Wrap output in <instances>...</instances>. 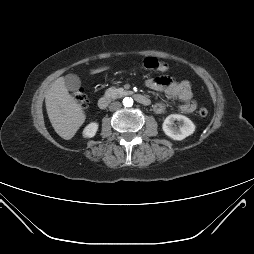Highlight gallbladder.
I'll return each instance as SVG.
<instances>
[{
    "label": "gallbladder",
    "mask_w": 254,
    "mask_h": 254,
    "mask_svg": "<svg viewBox=\"0 0 254 254\" xmlns=\"http://www.w3.org/2000/svg\"><path fill=\"white\" fill-rule=\"evenodd\" d=\"M65 86L69 91H77L80 88V78L75 74H68L64 78Z\"/></svg>",
    "instance_id": "gallbladder-1"
}]
</instances>
